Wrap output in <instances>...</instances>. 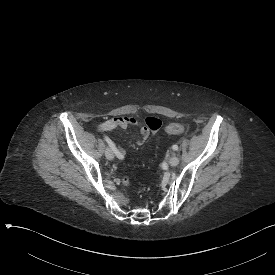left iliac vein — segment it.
Wrapping results in <instances>:
<instances>
[{
    "label": "left iliac vein",
    "mask_w": 275,
    "mask_h": 275,
    "mask_svg": "<svg viewBox=\"0 0 275 275\" xmlns=\"http://www.w3.org/2000/svg\"><path fill=\"white\" fill-rule=\"evenodd\" d=\"M169 165L172 167H175L178 165L179 163V158L177 157L176 154L172 155L171 158L169 159Z\"/></svg>",
    "instance_id": "4c4485c4"
}]
</instances>
